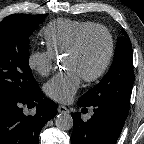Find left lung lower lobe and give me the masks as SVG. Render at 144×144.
I'll return each instance as SVG.
<instances>
[{"label":"left lung lower lobe","mask_w":144,"mask_h":144,"mask_svg":"<svg viewBox=\"0 0 144 144\" xmlns=\"http://www.w3.org/2000/svg\"><path fill=\"white\" fill-rule=\"evenodd\" d=\"M80 107H86L78 102ZM94 114L83 122L80 113H72V144H115L124 126L129 110L112 103L93 105Z\"/></svg>","instance_id":"0a47b994"}]
</instances>
